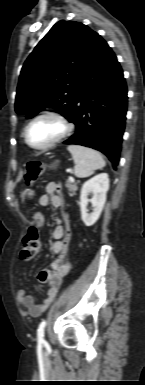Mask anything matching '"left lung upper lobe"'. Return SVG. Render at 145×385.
<instances>
[{"instance_id": "left-lung-upper-lobe-1", "label": "left lung upper lobe", "mask_w": 145, "mask_h": 385, "mask_svg": "<svg viewBox=\"0 0 145 385\" xmlns=\"http://www.w3.org/2000/svg\"><path fill=\"white\" fill-rule=\"evenodd\" d=\"M96 35L82 23L57 22L22 67L15 111L32 118L44 108H56L71 120Z\"/></svg>"}]
</instances>
